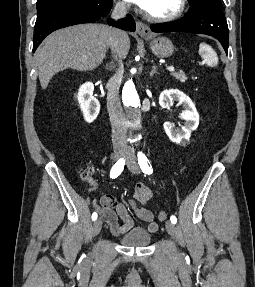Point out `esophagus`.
Wrapping results in <instances>:
<instances>
[{
  "label": "esophagus",
  "mask_w": 255,
  "mask_h": 287,
  "mask_svg": "<svg viewBox=\"0 0 255 287\" xmlns=\"http://www.w3.org/2000/svg\"><path fill=\"white\" fill-rule=\"evenodd\" d=\"M136 31L141 37H148L151 33L150 28L143 22H136Z\"/></svg>",
  "instance_id": "1"
}]
</instances>
